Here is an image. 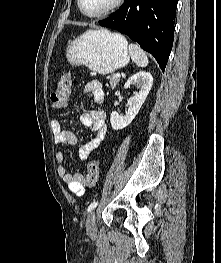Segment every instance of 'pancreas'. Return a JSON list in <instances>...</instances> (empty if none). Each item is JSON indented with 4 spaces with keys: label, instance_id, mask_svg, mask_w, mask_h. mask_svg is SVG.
I'll return each mask as SVG.
<instances>
[{
    "label": "pancreas",
    "instance_id": "obj_1",
    "mask_svg": "<svg viewBox=\"0 0 221 263\" xmlns=\"http://www.w3.org/2000/svg\"><path fill=\"white\" fill-rule=\"evenodd\" d=\"M107 79L109 80L112 89H114L119 83V78H116L115 75L108 76Z\"/></svg>",
    "mask_w": 221,
    "mask_h": 263
}]
</instances>
